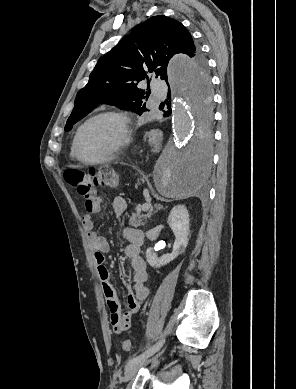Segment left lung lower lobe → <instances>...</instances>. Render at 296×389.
<instances>
[{
  "label": "left lung lower lobe",
  "instance_id": "left-lung-lower-lobe-1",
  "mask_svg": "<svg viewBox=\"0 0 296 389\" xmlns=\"http://www.w3.org/2000/svg\"><path fill=\"white\" fill-rule=\"evenodd\" d=\"M169 85V83H167ZM192 93L197 97H206L208 96V90H203L199 85L192 84ZM167 111H164L163 116L168 117L171 115V93L170 89L168 90L167 100ZM204 142H199L192 149L190 154L186 157L184 162L177 169V177L186 179L188 178L187 174L192 172L194 177H200L201 173H205L208 164H209V155H208V145H207V136L204 135Z\"/></svg>",
  "mask_w": 296,
  "mask_h": 389
}]
</instances>
